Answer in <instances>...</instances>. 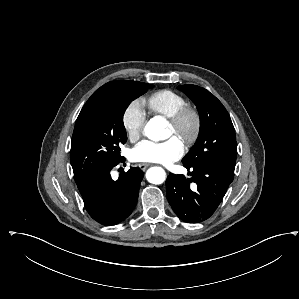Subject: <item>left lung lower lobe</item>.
<instances>
[{"label": "left lung lower lobe", "mask_w": 299, "mask_h": 299, "mask_svg": "<svg viewBox=\"0 0 299 299\" xmlns=\"http://www.w3.org/2000/svg\"><path fill=\"white\" fill-rule=\"evenodd\" d=\"M191 178L170 174L166 180L168 201L177 216L189 223H199L208 219L222 201L233 172L218 164L184 165ZM197 184L196 189L190 183Z\"/></svg>", "instance_id": "1"}]
</instances>
